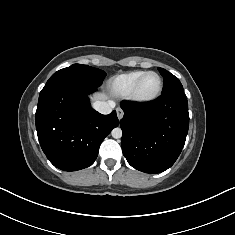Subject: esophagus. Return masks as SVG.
Returning <instances> with one entry per match:
<instances>
[{
  "label": "esophagus",
  "mask_w": 235,
  "mask_h": 235,
  "mask_svg": "<svg viewBox=\"0 0 235 235\" xmlns=\"http://www.w3.org/2000/svg\"><path fill=\"white\" fill-rule=\"evenodd\" d=\"M116 112H117L118 119L121 120L123 118V115H124L123 110L121 108H117Z\"/></svg>",
  "instance_id": "1"
}]
</instances>
